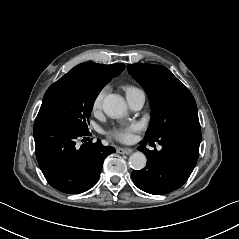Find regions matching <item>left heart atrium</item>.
Instances as JSON below:
<instances>
[{
    "label": "left heart atrium",
    "instance_id": "left-heart-atrium-1",
    "mask_svg": "<svg viewBox=\"0 0 239 239\" xmlns=\"http://www.w3.org/2000/svg\"><path fill=\"white\" fill-rule=\"evenodd\" d=\"M142 125L139 122L120 123L114 125L109 130V134L122 142H130L133 139V134L141 129Z\"/></svg>",
    "mask_w": 239,
    "mask_h": 239
}]
</instances>
